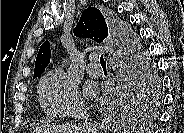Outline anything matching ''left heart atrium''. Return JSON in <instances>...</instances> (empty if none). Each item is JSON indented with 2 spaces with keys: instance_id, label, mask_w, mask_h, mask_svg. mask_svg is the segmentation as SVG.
I'll return each instance as SVG.
<instances>
[{
  "instance_id": "obj_1",
  "label": "left heart atrium",
  "mask_w": 184,
  "mask_h": 133,
  "mask_svg": "<svg viewBox=\"0 0 184 133\" xmlns=\"http://www.w3.org/2000/svg\"><path fill=\"white\" fill-rule=\"evenodd\" d=\"M86 91H87V93H88L89 95H92V94H93V89H92V88H88Z\"/></svg>"
}]
</instances>
